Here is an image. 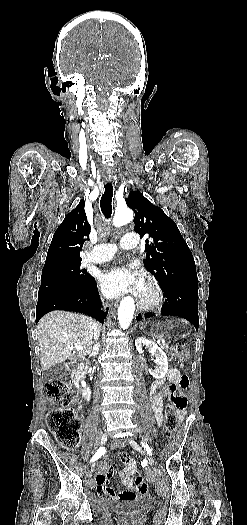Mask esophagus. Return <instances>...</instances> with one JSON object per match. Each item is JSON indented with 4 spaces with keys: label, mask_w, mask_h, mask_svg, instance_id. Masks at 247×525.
<instances>
[{
    "label": "esophagus",
    "mask_w": 247,
    "mask_h": 525,
    "mask_svg": "<svg viewBox=\"0 0 247 525\" xmlns=\"http://www.w3.org/2000/svg\"><path fill=\"white\" fill-rule=\"evenodd\" d=\"M137 315H138V314H137ZM139 315H140V318H141L142 314H139Z\"/></svg>",
    "instance_id": "34e87169"
}]
</instances>
